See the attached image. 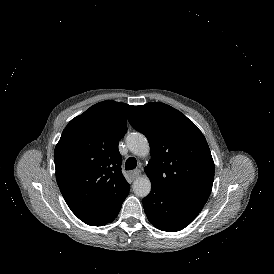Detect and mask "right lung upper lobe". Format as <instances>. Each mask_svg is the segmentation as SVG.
Wrapping results in <instances>:
<instances>
[{
	"label": "right lung upper lobe",
	"mask_w": 274,
	"mask_h": 274,
	"mask_svg": "<svg viewBox=\"0 0 274 274\" xmlns=\"http://www.w3.org/2000/svg\"><path fill=\"white\" fill-rule=\"evenodd\" d=\"M133 109L110 100L97 103L68 123L55 147L60 191L71 211L88 225L107 223L129 192L118 143Z\"/></svg>",
	"instance_id": "1"
}]
</instances>
